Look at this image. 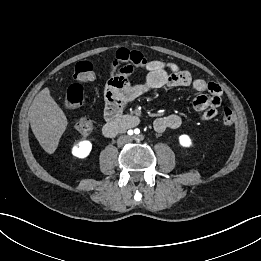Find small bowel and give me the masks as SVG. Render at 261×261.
Segmentation results:
<instances>
[{"mask_svg": "<svg viewBox=\"0 0 261 261\" xmlns=\"http://www.w3.org/2000/svg\"><path fill=\"white\" fill-rule=\"evenodd\" d=\"M146 78L140 83L128 80L130 70L113 63L105 91V116L112 121L116 119L124 105L145 93L164 87H192L199 94L193 100V107L203 111L202 120L208 121L217 114L221 104L222 89L210 81L193 78L190 72L174 62L155 60L145 66ZM181 125L177 114L160 116L154 120L153 126L157 132L176 129Z\"/></svg>", "mask_w": 261, "mask_h": 261, "instance_id": "1", "label": "small bowel"}]
</instances>
